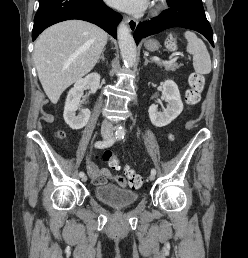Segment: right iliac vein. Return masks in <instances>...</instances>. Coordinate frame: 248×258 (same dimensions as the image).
<instances>
[{
	"mask_svg": "<svg viewBox=\"0 0 248 258\" xmlns=\"http://www.w3.org/2000/svg\"><path fill=\"white\" fill-rule=\"evenodd\" d=\"M103 137H104V138H108L109 135L106 134V133H104V134H103ZM82 181H83V182H86V181H87V176L84 175V176L82 177Z\"/></svg>",
	"mask_w": 248,
	"mask_h": 258,
	"instance_id": "63e3f726",
	"label": "right iliac vein"
}]
</instances>
